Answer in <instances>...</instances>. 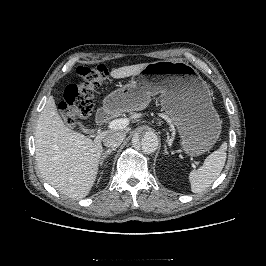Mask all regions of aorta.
Segmentation results:
<instances>
[{
	"label": "aorta",
	"mask_w": 266,
	"mask_h": 266,
	"mask_svg": "<svg viewBox=\"0 0 266 266\" xmlns=\"http://www.w3.org/2000/svg\"><path fill=\"white\" fill-rule=\"evenodd\" d=\"M133 145L136 147L141 146V149L146 154L154 153L159 146V138L157 134L149 129L142 130L137 139L133 140Z\"/></svg>",
	"instance_id": "aorta-1"
}]
</instances>
